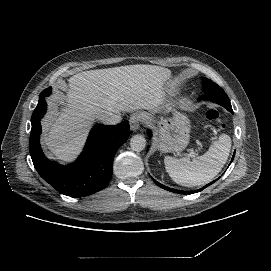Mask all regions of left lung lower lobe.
I'll return each mask as SVG.
<instances>
[{
  "label": "left lung lower lobe",
  "instance_id": "1",
  "mask_svg": "<svg viewBox=\"0 0 271 271\" xmlns=\"http://www.w3.org/2000/svg\"><path fill=\"white\" fill-rule=\"evenodd\" d=\"M230 112L233 113V110H230ZM148 135L151 136V132H150V131H148ZM234 156H235V152H234V154H233V157H232V159H231V162L233 161ZM231 162H230V164H231ZM230 164H229V165H230ZM219 178H220V177H219ZM153 181H154L158 186H160L161 188H163V189H165V190H168V191H171V192H175V193H180V194H192V193H196V192L202 191L204 188H206L207 186L211 185V184L214 183L216 180H214L213 182L207 184L206 186L202 187L201 189H198V190H195V191H190V192H189V191H180V190L172 189V188L166 187V186H164V185L158 183V182H157L156 180H154V179H153Z\"/></svg>",
  "mask_w": 271,
  "mask_h": 271
}]
</instances>
